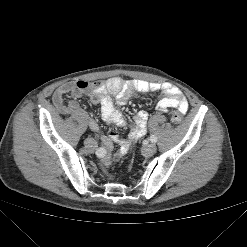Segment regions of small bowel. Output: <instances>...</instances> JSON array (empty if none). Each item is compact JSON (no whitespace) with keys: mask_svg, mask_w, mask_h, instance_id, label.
Instances as JSON below:
<instances>
[{"mask_svg":"<svg viewBox=\"0 0 247 247\" xmlns=\"http://www.w3.org/2000/svg\"><path fill=\"white\" fill-rule=\"evenodd\" d=\"M139 93L155 94L160 93L156 108L161 112H169L176 108L180 113L185 114L188 110V102L182 92L175 86L168 83L159 84L144 80H124L113 77L106 80L98 88H92L85 81H71L59 86L52 95V101L57 111L62 115L78 114L79 104L76 100L64 101V96L70 94L74 98H79L86 94L90 97L92 104L100 106L103 120L113 126H123L124 119L116 110L115 104H124L136 97ZM148 114L145 111L138 112L134 117L135 127L131 131L130 139L134 140L146 132V122ZM89 127L93 131H99V125L93 118L88 121ZM102 143L108 151H112L113 143L119 145V150L114 159L123 157L130 148V141L122 140L115 132H111L102 137ZM112 157L107 156L103 159L104 165H110Z\"/></svg>","mask_w":247,"mask_h":247,"instance_id":"c3829d8e","label":"small bowel"}]
</instances>
